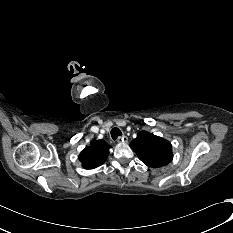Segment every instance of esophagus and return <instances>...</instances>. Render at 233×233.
<instances>
[{
    "label": "esophagus",
    "mask_w": 233,
    "mask_h": 233,
    "mask_svg": "<svg viewBox=\"0 0 233 233\" xmlns=\"http://www.w3.org/2000/svg\"><path fill=\"white\" fill-rule=\"evenodd\" d=\"M117 142H118V143H127V142H128V138H127V136H125V135L119 136V137L117 138Z\"/></svg>",
    "instance_id": "1"
}]
</instances>
